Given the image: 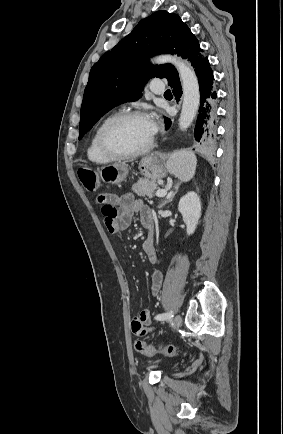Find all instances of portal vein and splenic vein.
Instances as JSON below:
<instances>
[{
  "label": "portal vein and splenic vein",
  "instance_id": "18ae733b",
  "mask_svg": "<svg viewBox=\"0 0 283 434\" xmlns=\"http://www.w3.org/2000/svg\"><path fill=\"white\" fill-rule=\"evenodd\" d=\"M167 194V189H161L156 192V196L164 197Z\"/></svg>",
  "mask_w": 283,
  "mask_h": 434
}]
</instances>
